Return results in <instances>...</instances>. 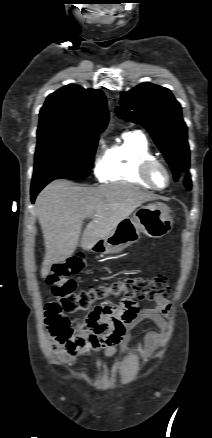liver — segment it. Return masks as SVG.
I'll return each mask as SVG.
<instances>
[{"mask_svg": "<svg viewBox=\"0 0 212 438\" xmlns=\"http://www.w3.org/2000/svg\"><path fill=\"white\" fill-rule=\"evenodd\" d=\"M156 199L158 195L125 183L81 187L70 181L56 180L48 184L36 199L45 245L42 277L49 274L54 263L74 253L85 218L91 221L82 235L81 247L90 250L136 208Z\"/></svg>", "mask_w": 212, "mask_h": 438, "instance_id": "liver-1", "label": "liver"}]
</instances>
